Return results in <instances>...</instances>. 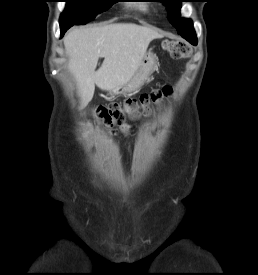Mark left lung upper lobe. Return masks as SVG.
<instances>
[{"label": "left lung upper lobe", "mask_w": 258, "mask_h": 275, "mask_svg": "<svg viewBox=\"0 0 258 275\" xmlns=\"http://www.w3.org/2000/svg\"><path fill=\"white\" fill-rule=\"evenodd\" d=\"M169 11V21L177 28V32L182 35L193 29L190 19H179V11L183 0H161Z\"/></svg>", "instance_id": "left-lung-upper-lobe-1"}]
</instances>
